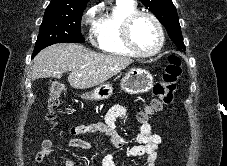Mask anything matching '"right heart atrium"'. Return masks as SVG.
<instances>
[{
	"mask_svg": "<svg viewBox=\"0 0 227 166\" xmlns=\"http://www.w3.org/2000/svg\"><path fill=\"white\" fill-rule=\"evenodd\" d=\"M96 12H97V7L93 6L89 8L84 15V20L87 22H92L95 18Z\"/></svg>",
	"mask_w": 227,
	"mask_h": 166,
	"instance_id": "d8ad5b80",
	"label": "right heart atrium"
}]
</instances>
